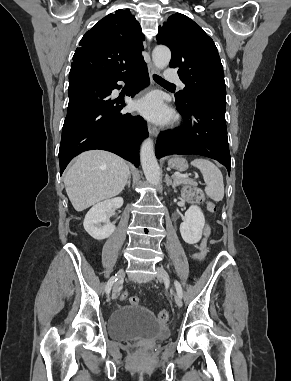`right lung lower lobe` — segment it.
<instances>
[{"label": "right lung lower lobe", "instance_id": "1", "mask_svg": "<svg viewBox=\"0 0 291 381\" xmlns=\"http://www.w3.org/2000/svg\"><path fill=\"white\" fill-rule=\"evenodd\" d=\"M128 75L133 76L136 87L127 94L132 97L150 82L145 62L114 79L69 74V104L59 149L60 175L73 157L91 149L113 152L139 166V145L148 137L147 124L140 116L120 113L125 104L114 105L110 98L112 90L120 88L117 81L126 80Z\"/></svg>", "mask_w": 291, "mask_h": 381}]
</instances>
